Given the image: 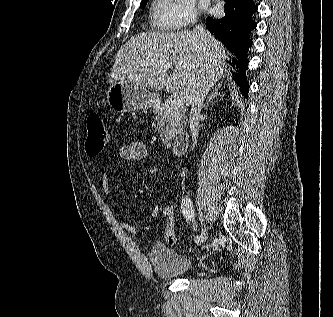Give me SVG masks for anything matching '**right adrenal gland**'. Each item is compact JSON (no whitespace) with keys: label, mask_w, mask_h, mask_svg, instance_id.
I'll use <instances>...</instances> for the list:
<instances>
[{"label":"right adrenal gland","mask_w":333,"mask_h":317,"mask_svg":"<svg viewBox=\"0 0 333 317\" xmlns=\"http://www.w3.org/2000/svg\"><path fill=\"white\" fill-rule=\"evenodd\" d=\"M220 85H216L213 89L212 92L210 93L208 99L206 100V102L203 105V108H207V106L209 105L210 101L213 100L214 98H217L218 96H224V94L219 92L220 89Z\"/></svg>","instance_id":"right-adrenal-gland-1"}]
</instances>
